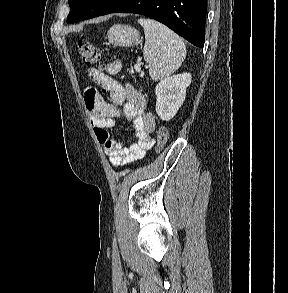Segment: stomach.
I'll list each match as a JSON object with an SVG mask.
<instances>
[{"mask_svg":"<svg viewBox=\"0 0 288 293\" xmlns=\"http://www.w3.org/2000/svg\"><path fill=\"white\" fill-rule=\"evenodd\" d=\"M107 37L114 46L132 47L139 42L140 34L130 25L115 24L109 29Z\"/></svg>","mask_w":288,"mask_h":293,"instance_id":"0dacf381","label":"stomach"}]
</instances>
